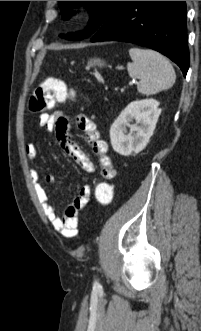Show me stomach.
Segmentation results:
<instances>
[{"instance_id": "stomach-1", "label": "stomach", "mask_w": 201, "mask_h": 331, "mask_svg": "<svg viewBox=\"0 0 201 331\" xmlns=\"http://www.w3.org/2000/svg\"><path fill=\"white\" fill-rule=\"evenodd\" d=\"M93 65H98L100 67L104 66V62L101 61L100 59H93L90 61V66H93Z\"/></svg>"}]
</instances>
